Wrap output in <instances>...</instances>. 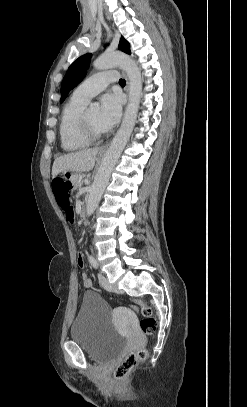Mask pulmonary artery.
<instances>
[{
	"instance_id": "pulmonary-artery-1",
	"label": "pulmonary artery",
	"mask_w": 247,
	"mask_h": 407,
	"mask_svg": "<svg viewBox=\"0 0 247 407\" xmlns=\"http://www.w3.org/2000/svg\"><path fill=\"white\" fill-rule=\"evenodd\" d=\"M118 80V72L111 70L107 72L96 73L82 84H80L74 91L73 96L85 101L102 92L110 83Z\"/></svg>"
}]
</instances>
